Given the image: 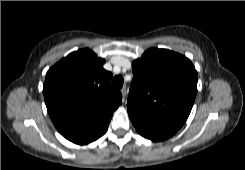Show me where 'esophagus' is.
<instances>
[{
    "instance_id": "34e87169",
    "label": "esophagus",
    "mask_w": 245,
    "mask_h": 170,
    "mask_svg": "<svg viewBox=\"0 0 245 170\" xmlns=\"http://www.w3.org/2000/svg\"><path fill=\"white\" fill-rule=\"evenodd\" d=\"M121 94H122V97H123V101L125 100V96H126V87H123L121 88Z\"/></svg>"
}]
</instances>
